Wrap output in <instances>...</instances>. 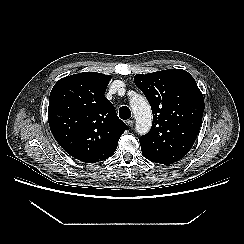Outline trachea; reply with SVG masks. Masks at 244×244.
<instances>
[{"mask_svg": "<svg viewBox=\"0 0 244 244\" xmlns=\"http://www.w3.org/2000/svg\"><path fill=\"white\" fill-rule=\"evenodd\" d=\"M119 117L123 120H127L131 117V111L129 109V107L127 106H122L119 109Z\"/></svg>", "mask_w": 244, "mask_h": 244, "instance_id": "obj_1", "label": "trachea"}]
</instances>
